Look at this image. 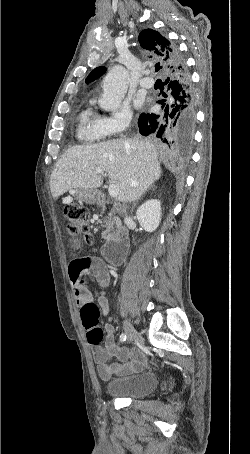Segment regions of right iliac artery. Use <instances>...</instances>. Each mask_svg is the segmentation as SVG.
Instances as JSON below:
<instances>
[{
	"instance_id": "right-iliac-artery-1",
	"label": "right iliac artery",
	"mask_w": 250,
	"mask_h": 454,
	"mask_svg": "<svg viewBox=\"0 0 250 454\" xmlns=\"http://www.w3.org/2000/svg\"><path fill=\"white\" fill-rule=\"evenodd\" d=\"M126 338H127L126 335H125L124 333H122V334L120 335V342L126 341Z\"/></svg>"
}]
</instances>
